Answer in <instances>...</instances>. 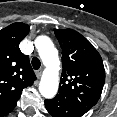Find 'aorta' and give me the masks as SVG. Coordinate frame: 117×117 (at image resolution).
<instances>
[{
  "label": "aorta",
  "mask_w": 117,
  "mask_h": 117,
  "mask_svg": "<svg viewBox=\"0 0 117 117\" xmlns=\"http://www.w3.org/2000/svg\"><path fill=\"white\" fill-rule=\"evenodd\" d=\"M35 46L46 67L39 84V92L43 97L51 99L56 95L59 87L60 61L58 51L51 39L45 35L36 38Z\"/></svg>",
  "instance_id": "obj_1"
}]
</instances>
